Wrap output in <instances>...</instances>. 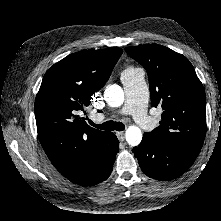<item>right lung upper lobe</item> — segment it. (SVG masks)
<instances>
[{"label":"right lung upper lobe","mask_w":221,"mask_h":221,"mask_svg":"<svg viewBox=\"0 0 221 221\" xmlns=\"http://www.w3.org/2000/svg\"><path fill=\"white\" fill-rule=\"evenodd\" d=\"M123 50H83L68 55L44 75L35 100L40 142L66 178L94 170L107 161L109 132L87 125L84 111L108 80Z\"/></svg>","instance_id":"right-lung-upper-lobe-1"}]
</instances>
